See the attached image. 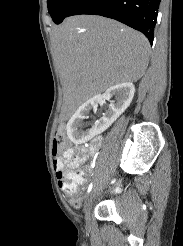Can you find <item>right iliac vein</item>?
Returning <instances> with one entry per match:
<instances>
[{
	"label": "right iliac vein",
	"instance_id": "1",
	"mask_svg": "<svg viewBox=\"0 0 183 246\" xmlns=\"http://www.w3.org/2000/svg\"><path fill=\"white\" fill-rule=\"evenodd\" d=\"M94 197H95V190H93L88 196L85 206V223L87 227L90 226V212H91V207Z\"/></svg>",
	"mask_w": 183,
	"mask_h": 246
}]
</instances>
